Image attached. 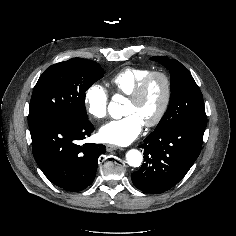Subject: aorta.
<instances>
[{"label":"aorta","instance_id":"obj_1","mask_svg":"<svg viewBox=\"0 0 236 236\" xmlns=\"http://www.w3.org/2000/svg\"><path fill=\"white\" fill-rule=\"evenodd\" d=\"M121 99H122L121 96L116 95L112 98V101L109 103L108 111L113 118H117L121 113L120 112L121 107L118 104V102H120ZM142 159L143 157L141 152L136 149H131L126 153L127 163L131 167H139L142 163Z\"/></svg>","mask_w":236,"mask_h":236}]
</instances>
